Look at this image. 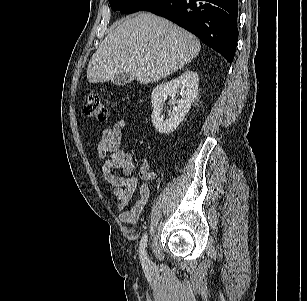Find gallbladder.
I'll use <instances>...</instances> for the list:
<instances>
[{
	"mask_svg": "<svg viewBox=\"0 0 307 301\" xmlns=\"http://www.w3.org/2000/svg\"><path fill=\"white\" fill-rule=\"evenodd\" d=\"M111 81L117 86H122L131 83L133 81V77L128 73L122 72L115 75Z\"/></svg>",
	"mask_w": 307,
	"mask_h": 301,
	"instance_id": "obj_1",
	"label": "gallbladder"
}]
</instances>
